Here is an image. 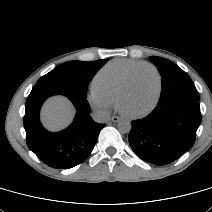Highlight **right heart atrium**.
Returning a JSON list of instances; mask_svg holds the SVG:
<instances>
[{
	"label": "right heart atrium",
	"mask_w": 212,
	"mask_h": 212,
	"mask_svg": "<svg viewBox=\"0 0 212 212\" xmlns=\"http://www.w3.org/2000/svg\"><path fill=\"white\" fill-rule=\"evenodd\" d=\"M87 100L92 108L101 112L109 111L114 104V101L99 90L95 85H92L90 88Z\"/></svg>",
	"instance_id": "1"
}]
</instances>
